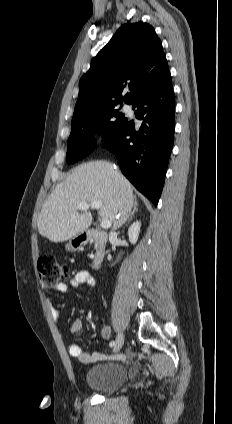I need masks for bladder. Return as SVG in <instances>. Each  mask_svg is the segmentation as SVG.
Here are the masks:
<instances>
[{
  "label": "bladder",
  "mask_w": 232,
  "mask_h": 424,
  "mask_svg": "<svg viewBox=\"0 0 232 424\" xmlns=\"http://www.w3.org/2000/svg\"><path fill=\"white\" fill-rule=\"evenodd\" d=\"M128 370L116 362H103L92 366L85 378L86 385L100 393H110L119 389L127 380Z\"/></svg>",
  "instance_id": "bladder-1"
}]
</instances>
